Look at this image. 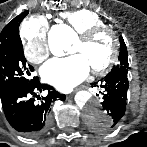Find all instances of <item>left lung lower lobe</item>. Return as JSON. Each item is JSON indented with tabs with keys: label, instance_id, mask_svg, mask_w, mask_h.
Returning a JSON list of instances; mask_svg holds the SVG:
<instances>
[{
	"label": "left lung lower lobe",
	"instance_id": "1",
	"mask_svg": "<svg viewBox=\"0 0 147 147\" xmlns=\"http://www.w3.org/2000/svg\"><path fill=\"white\" fill-rule=\"evenodd\" d=\"M127 72L128 70H121L101 79L100 87L104 88V101L102 102V106L110 118L105 123L98 122L92 124L100 131H110L114 129L125 114L129 87ZM91 85L93 87L99 86L97 82Z\"/></svg>",
	"mask_w": 147,
	"mask_h": 147
}]
</instances>
